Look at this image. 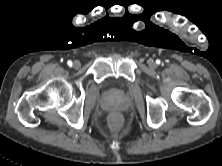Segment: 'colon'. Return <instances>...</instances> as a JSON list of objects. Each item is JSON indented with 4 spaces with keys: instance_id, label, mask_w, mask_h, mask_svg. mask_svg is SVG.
<instances>
[{
    "instance_id": "1",
    "label": "colon",
    "mask_w": 222,
    "mask_h": 166,
    "mask_svg": "<svg viewBox=\"0 0 222 166\" xmlns=\"http://www.w3.org/2000/svg\"><path fill=\"white\" fill-rule=\"evenodd\" d=\"M109 124L112 128H119L122 124V117L118 113H113L109 117Z\"/></svg>"
}]
</instances>
